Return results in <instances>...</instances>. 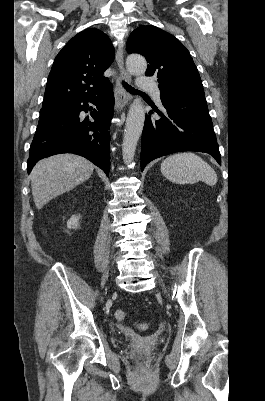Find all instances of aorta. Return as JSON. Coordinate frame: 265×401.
<instances>
[{
    "label": "aorta",
    "mask_w": 265,
    "mask_h": 401,
    "mask_svg": "<svg viewBox=\"0 0 265 401\" xmlns=\"http://www.w3.org/2000/svg\"><path fill=\"white\" fill-rule=\"evenodd\" d=\"M126 68L132 74H144L147 62L141 54H130L126 58ZM145 120L144 106L141 98H134L127 114L122 144V156L126 164L134 160L137 142L141 136Z\"/></svg>",
    "instance_id": "aorta-1"
}]
</instances>
